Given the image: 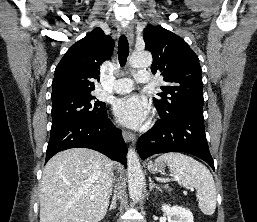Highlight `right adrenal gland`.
I'll return each mask as SVG.
<instances>
[{
	"label": "right adrenal gland",
	"mask_w": 257,
	"mask_h": 222,
	"mask_svg": "<svg viewBox=\"0 0 257 222\" xmlns=\"http://www.w3.org/2000/svg\"><path fill=\"white\" fill-rule=\"evenodd\" d=\"M116 200H117V195H116V190L114 191V197L112 199L111 205L109 210L111 211L112 209L116 208Z\"/></svg>",
	"instance_id": "obj_1"
}]
</instances>
